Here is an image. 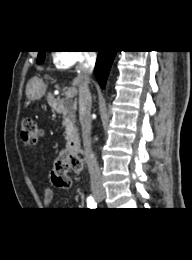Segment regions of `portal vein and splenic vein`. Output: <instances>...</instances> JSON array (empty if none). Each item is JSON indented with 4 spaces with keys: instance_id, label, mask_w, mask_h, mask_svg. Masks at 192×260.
<instances>
[{
    "instance_id": "obj_1",
    "label": "portal vein and splenic vein",
    "mask_w": 192,
    "mask_h": 260,
    "mask_svg": "<svg viewBox=\"0 0 192 260\" xmlns=\"http://www.w3.org/2000/svg\"><path fill=\"white\" fill-rule=\"evenodd\" d=\"M76 94H77V90H76L75 88H69V89L65 92V96H66V98H68V99L73 98Z\"/></svg>"
}]
</instances>
